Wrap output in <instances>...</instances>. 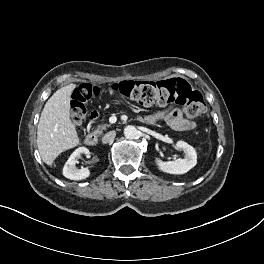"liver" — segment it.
Returning <instances> with one entry per match:
<instances>
[{
	"mask_svg": "<svg viewBox=\"0 0 264 264\" xmlns=\"http://www.w3.org/2000/svg\"><path fill=\"white\" fill-rule=\"evenodd\" d=\"M76 84L57 90L46 102L38 123L37 146L43 162L51 166L62 152L79 144L70 119V96Z\"/></svg>",
	"mask_w": 264,
	"mask_h": 264,
	"instance_id": "6515ba94",
	"label": "liver"
}]
</instances>
